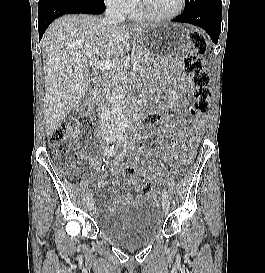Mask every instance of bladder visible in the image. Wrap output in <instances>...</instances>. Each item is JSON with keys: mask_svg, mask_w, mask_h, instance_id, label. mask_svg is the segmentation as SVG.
Wrapping results in <instances>:
<instances>
[{"mask_svg": "<svg viewBox=\"0 0 265 273\" xmlns=\"http://www.w3.org/2000/svg\"><path fill=\"white\" fill-rule=\"evenodd\" d=\"M164 227V216L156 205L133 203L98 221L99 231L110 241L125 248H137L158 238Z\"/></svg>", "mask_w": 265, "mask_h": 273, "instance_id": "obj_1", "label": "bladder"}]
</instances>
